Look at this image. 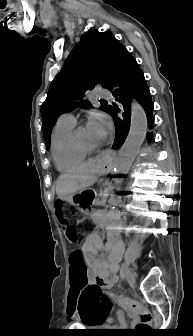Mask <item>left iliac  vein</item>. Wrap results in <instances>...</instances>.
<instances>
[{
    "mask_svg": "<svg viewBox=\"0 0 193 336\" xmlns=\"http://www.w3.org/2000/svg\"><path fill=\"white\" fill-rule=\"evenodd\" d=\"M126 280L130 285H134L136 281L135 274L130 270H126Z\"/></svg>",
    "mask_w": 193,
    "mask_h": 336,
    "instance_id": "1",
    "label": "left iliac vein"
}]
</instances>
